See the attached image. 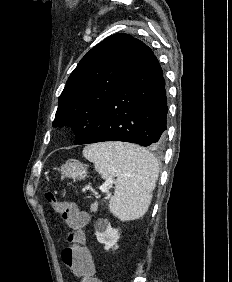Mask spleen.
Masks as SVG:
<instances>
[{
    "label": "spleen",
    "mask_w": 232,
    "mask_h": 282,
    "mask_svg": "<svg viewBox=\"0 0 232 282\" xmlns=\"http://www.w3.org/2000/svg\"><path fill=\"white\" fill-rule=\"evenodd\" d=\"M83 155L94 163L103 179L116 177L109 209L121 220L142 217L148 210L159 175V164L148 150L136 145L110 142L89 145Z\"/></svg>",
    "instance_id": "obj_1"
}]
</instances>
